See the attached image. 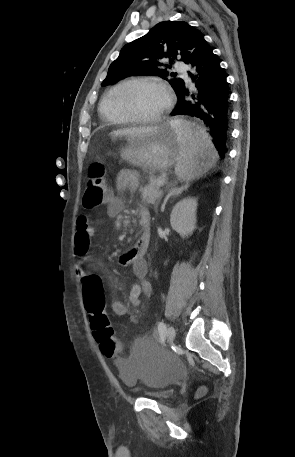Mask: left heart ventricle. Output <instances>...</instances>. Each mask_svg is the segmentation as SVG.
<instances>
[{
    "label": "left heart ventricle",
    "instance_id": "obj_1",
    "mask_svg": "<svg viewBox=\"0 0 295 457\" xmlns=\"http://www.w3.org/2000/svg\"><path fill=\"white\" fill-rule=\"evenodd\" d=\"M167 95L158 86H143L136 89L130 96V104L136 114L152 117L159 114L165 107Z\"/></svg>",
    "mask_w": 295,
    "mask_h": 457
}]
</instances>
